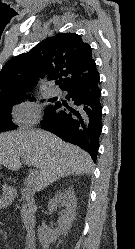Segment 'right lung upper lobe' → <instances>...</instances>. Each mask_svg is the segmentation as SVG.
<instances>
[{"mask_svg":"<svg viewBox=\"0 0 135 249\" xmlns=\"http://www.w3.org/2000/svg\"><path fill=\"white\" fill-rule=\"evenodd\" d=\"M46 73L56 82L64 77L62 90L93 78L98 71L90 45L76 33H59L11 58L0 71V100L25 95Z\"/></svg>","mask_w":135,"mask_h":249,"instance_id":"cb5924a9","label":"right lung upper lobe"}]
</instances>
